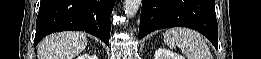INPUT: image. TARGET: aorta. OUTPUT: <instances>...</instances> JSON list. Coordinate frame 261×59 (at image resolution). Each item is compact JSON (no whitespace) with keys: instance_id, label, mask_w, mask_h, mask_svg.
I'll return each mask as SVG.
<instances>
[{"instance_id":"762f6f07","label":"aorta","mask_w":261,"mask_h":59,"mask_svg":"<svg viewBox=\"0 0 261 59\" xmlns=\"http://www.w3.org/2000/svg\"><path fill=\"white\" fill-rule=\"evenodd\" d=\"M142 0H124V12L127 17L133 18L138 12Z\"/></svg>"}]
</instances>
